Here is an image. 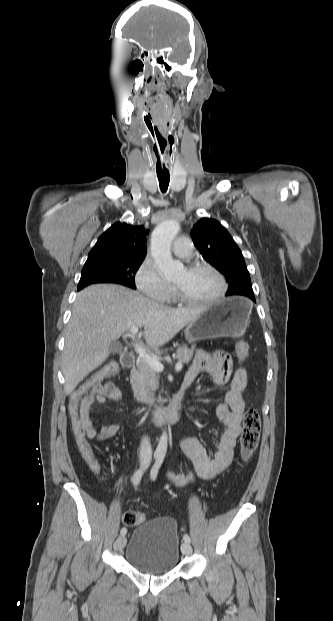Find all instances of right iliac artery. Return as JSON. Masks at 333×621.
I'll list each match as a JSON object with an SVG mask.
<instances>
[{
  "label": "right iliac artery",
  "instance_id": "1",
  "mask_svg": "<svg viewBox=\"0 0 333 621\" xmlns=\"http://www.w3.org/2000/svg\"><path fill=\"white\" fill-rule=\"evenodd\" d=\"M154 457H155V458H157L158 456H157V455H154ZM143 472H144V468H140V469H138V470L134 473V475H133V477H132V482H133V484H134L135 486H137V485L139 484V482H140V480H141V478H142ZM126 533H127V529H126L125 527H123V528L121 529V531H120V534H121L122 536H124Z\"/></svg>",
  "mask_w": 333,
  "mask_h": 621
}]
</instances>
